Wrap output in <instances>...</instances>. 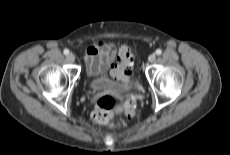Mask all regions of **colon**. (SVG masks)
<instances>
[{
	"mask_svg": "<svg viewBox=\"0 0 230 155\" xmlns=\"http://www.w3.org/2000/svg\"><path fill=\"white\" fill-rule=\"evenodd\" d=\"M124 61L126 62V69L130 70L133 64V53L129 48L125 49ZM119 107L118 100L111 95H104L100 97L96 103L95 109L91 114L92 122L99 125L113 126L112 119ZM135 106L132 101L125 104V111L129 116L134 114Z\"/></svg>",
	"mask_w": 230,
	"mask_h": 155,
	"instance_id": "5ec220e1",
	"label": "colon"
}]
</instances>
